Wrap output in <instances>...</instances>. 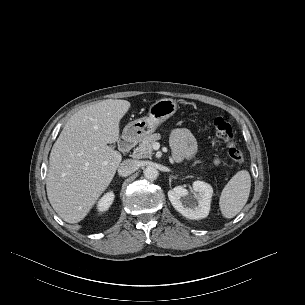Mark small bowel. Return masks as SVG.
I'll return each instance as SVG.
<instances>
[{"mask_svg": "<svg viewBox=\"0 0 305 305\" xmlns=\"http://www.w3.org/2000/svg\"><path fill=\"white\" fill-rule=\"evenodd\" d=\"M172 154L175 161L180 162L184 159H193L197 153V144L192 133L187 129H176L170 138ZM219 160L215 159L214 164Z\"/></svg>", "mask_w": 305, "mask_h": 305, "instance_id": "1", "label": "small bowel"}]
</instances>
